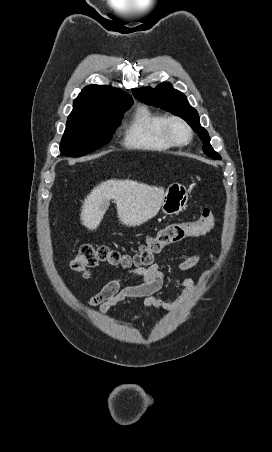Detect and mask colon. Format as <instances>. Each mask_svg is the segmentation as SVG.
I'll return each mask as SVG.
<instances>
[{"label":"colon","mask_w":272,"mask_h":452,"mask_svg":"<svg viewBox=\"0 0 272 452\" xmlns=\"http://www.w3.org/2000/svg\"><path fill=\"white\" fill-rule=\"evenodd\" d=\"M215 223L211 209L206 208L197 220L170 222L148 236L132 254L123 253L107 244H82L78 254L70 262L75 273L86 274L88 269L101 263L112 266H146L166 247L176 244L187 237L199 236L210 231Z\"/></svg>","instance_id":"5ec220e1"}]
</instances>
